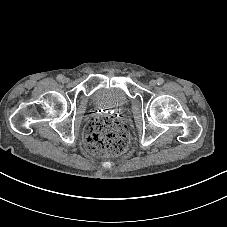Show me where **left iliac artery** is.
Listing matches in <instances>:
<instances>
[{
	"instance_id": "left-iliac-artery-1",
	"label": "left iliac artery",
	"mask_w": 227,
	"mask_h": 227,
	"mask_svg": "<svg viewBox=\"0 0 227 227\" xmlns=\"http://www.w3.org/2000/svg\"><path fill=\"white\" fill-rule=\"evenodd\" d=\"M163 83H164V79L163 78L160 77V78L157 79V84L158 85H162Z\"/></svg>"
}]
</instances>
